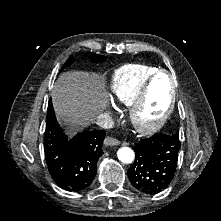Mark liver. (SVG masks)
<instances>
[{"mask_svg": "<svg viewBox=\"0 0 221 221\" xmlns=\"http://www.w3.org/2000/svg\"><path fill=\"white\" fill-rule=\"evenodd\" d=\"M104 86L103 77L94 73H62L51 92L58 119L73 129L88 126L108 105Z\"/></svg>", "mask_w": 221, "mask_h": 221, "instance_id": "6515ba94", "label": "liver"}]
</instances>
